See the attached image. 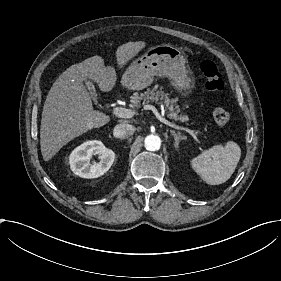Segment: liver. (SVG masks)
<instances>
[{
    "mask_svg": "<svg viewBox=\"0 0 281 281\" xmlns=\"http://www.w3.org/2000/svg\"><path fill=\"white\" fill-rule=\"evenodd\" d=\"M142 47L143 42L120 46L117 50L119 64ZM86 76L96 81L104 91H109L116 81L115 68L104 66L99 56L74 64L60 74L47 94L41 118L40 145L46 161L65 143L109 121L104 113L93 110L91 96L81 82Z\"/></svg>",
    "mask_w": 281,
    "mask_h": 281,
    "instance_id": "liver-1",
    "label": "liver"
}]
</instances>
